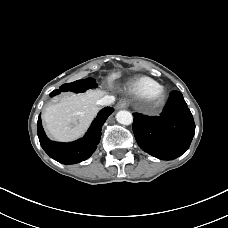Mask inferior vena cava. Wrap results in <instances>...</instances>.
<instances>
[{"instance_id": "1", "label": "inferior vena cava", "mask_w": 228, "mask_h": 228, "mask_svg": "<svg viewBox=\"0 0 228 228\" xmlns=\"http://www.w3.org/2000/svg\"><path fill=\"white\" fill-rule=\"evenodd\" d=\"M114 101H115L114 96L105 95L97 101V104L101 106H109L112 103H114Z\"/></svg>"}]
</instances>
